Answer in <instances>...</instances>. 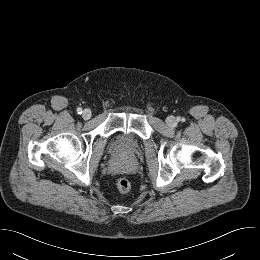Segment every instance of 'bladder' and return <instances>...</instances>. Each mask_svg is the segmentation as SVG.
I'll return each mask as SVG.
<instances>
[{
	"instance_id": "bladder-1",
	"label": "bladder",
	"mask_w": 260,
	"mask_h": 260,
	"mask_svg": "<svg viewBox=\"0 0 260 260\" xmlns=\"http://www.w3.org/2000/svg\"><path fill=\"white\" fill-rule=\"evenodd\" d=\"M113 148L118 153L135 154L140 150L141 143L132 135H122L114 141Z\"/></svg>"
}]
</instances>
